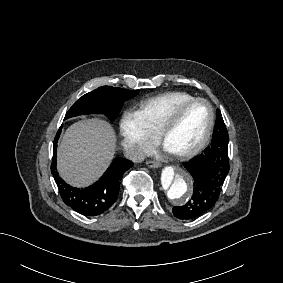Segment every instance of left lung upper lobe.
<instances>
[{
  "label": "left lung upper lobe",
  "instance_id": "obj_1",
  "mask_svg": "<svg viewBox=\"0 0 283 283\" xmlns=\"http://www.w3.org/2000/svg\"><path fill=\"white\" fill-rule=\"evenodd\" d=\"M217 115H221V112H220V110H217Z\"/></svg>",
  "mask_w": 283,
  "mask_h": 283
}]
</instances>
